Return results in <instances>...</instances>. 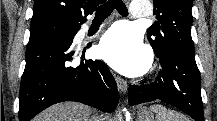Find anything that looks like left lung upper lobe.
Returning <instances> with one entry per match:
<instances>
[{"label":"left lung upper lobe","instance_id":"obj_1","mask_svg":"<svg viewBox=\"0 0 217 121\" xmlns=\"http://www.w3.org/2000/svg\"><path fill=\"white\" fill-rule=\"evenodd\" d=\"M157 22L149 27L147 38L155 54L179 48L194 54L191 38L192 0H153Z\"/></svg>","mask_w":217,"mask_h":121}]
</instances>
